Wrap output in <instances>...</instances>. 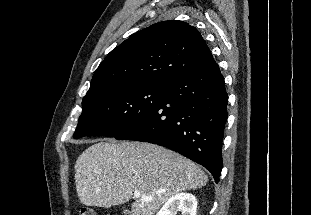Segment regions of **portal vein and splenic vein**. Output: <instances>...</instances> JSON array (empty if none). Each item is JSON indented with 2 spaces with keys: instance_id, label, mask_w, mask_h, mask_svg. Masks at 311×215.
<instances>
[{
  "instance_id": "obj_1",
  "label": "portal vein and splenic vein",
  "mask_w": 311,
  "mask_h": 215,
  "mask_svg": "<svg viewBox=\"0 0 311 215\" xmlns=\"http://www.w3.org/2000/svg\"><path fill=\"white\" fill-rule=\"evenodd\" d=\"M134 197L135 198H141V200H143V201H150L151 200L150 197H147L145 195H141L140 191H134Z\"/></svg>"
}]
</instances>
